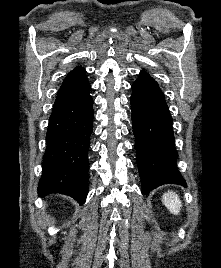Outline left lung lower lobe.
I'll list each match as a JSON object with an SVG mask.
<instances>
[{"label": "left lung lower lobe", "instance_id": "obj_1", "mask_svg": "<svg viewBox=\"0 0 221 268\" xmlns=\"http://www.w3.org/2000/svg\"><path fill=\"white\" fill-rule=\"evenodd\" d=\"M130 102L142 192L148 194L164 184L186 186L176 167L172 117L158 84L138 77Z\"/></svg>", "mask_w": 221, "mask_h": 268}]
</instances>
